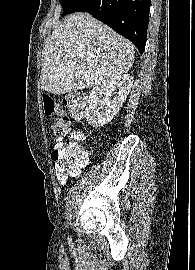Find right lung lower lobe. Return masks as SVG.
Wrapping results in <instances>:
<instances>
[{
    "instance_id": "obj_1",
    "label": "right lung lower lobe",
    "mask_w": 195,
    "mask_h": 270,
    "mask_svg": "<svg viewBox=\"0 0 195 270\" xmlns=\"http://www.w3.org/2000/svg\"><path fill=\"white\" fill-rule=\"evenodd\" d=\"M151 0H79L74 12H88L131 40L142 54Z\"/></svg>"
}]
</instances>
